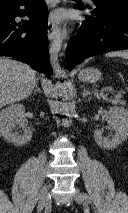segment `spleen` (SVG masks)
Returning <instances> with one entry per match:
<instances>
[{"label":"spleen","instance_id":"1","mask_svg":"<svg viewBox=\"0 0 128 213\" xmlns=\"http://www.w3.org/2000/svg\"><path fill=\"white\" fill-rule=\"evenodd\" d=\"M106 57H122L128 59V51H113L106 54Z\"/></svg>","mask_w":128,"mask_h":213}]
</instances>
